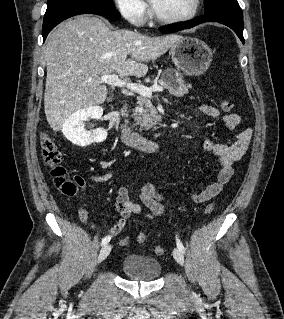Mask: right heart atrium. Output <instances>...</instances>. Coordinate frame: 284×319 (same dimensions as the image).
Masks as SVG:
<instances>
[{
  "instance_id": "right-heart-atrium-1",
  "label": "right heart atrium",
  "mask_w": 284,
  "mask_h": 319,
  "mask_svg": "<svg viewBox=\"0 0 284 319\" xmlns=\"http://www.w3.org/2000/svg\"><path fill=\"white\" fill-rule=\"evenodd\" d=\"M119 13L129 23L139 26L144 23L148 9L143 0H114Z\"/></svg>"
}]
</instances>
